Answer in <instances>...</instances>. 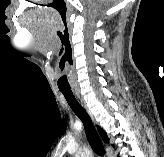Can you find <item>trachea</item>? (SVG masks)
I'll list each match as a JSON object with an SVG mask.
<instances>
[{"label":"trachea","mask_w":164,"mask_h":157,"mask_svg":"<svg viewBox=\"0 0 164 157\" xmlns=\"http://www.w3.org/2000/svg\"><path fill=\"white\" fill-rule=\"evenodd\" d=\"M60 91L66 98V100H67L69 106L71 107V109L73 110V112L83 122L86 136H87V139H88L92 149L98 155L103 156L105 154L103 143H102L89 115L84 110V108L77 102L71 89H60Z\"/></svg>","instance_id":"trachea-1"}]
</instances>
